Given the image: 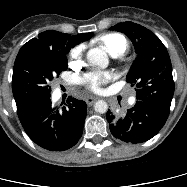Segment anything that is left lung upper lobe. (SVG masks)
Masks as SVG:
<instances>
[{"label": "left lung upper lobe", "mask_w": 187, "mask_h": 187, "mask_svg": "<svg viewBox=\"0 0 187 187\" xmlns=\"http://www.w3.org/2000/svg\"><path fill=\"white\" fill-rule=\"evenodd\" d=\"M110 29L125 33L134 44L137 57L126 81L135 87L137 100L170 110L174 81L164 44L150 30L133 22L119 23Z\"/></svg>", "instance_id": "obj_1"}]
</instances>
